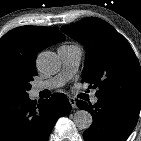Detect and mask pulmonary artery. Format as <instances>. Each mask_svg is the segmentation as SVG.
I'll return each instance as SVG.
<instances>
[{
	"instance_id": "1",
	"label": "pulmonary artery",
	"mask_w": 141,
	"mask_h": 141,
	"mask_svg": "<svg viewBox=\"0 0 141 141\" xmlns=\"http://www.w3.org/2000/svg\"><path fill=\"white\" fill-rule=\"evenodd\" d=\"M57 52L62 61L61 72L48 80L36 84L33 88L34 94L62 87L78 68L82 57L81 47L77 45H63L58 48ZM91 101L92 103H97L98 98L94 96Z\"/></svg>"
}]
</instances>
